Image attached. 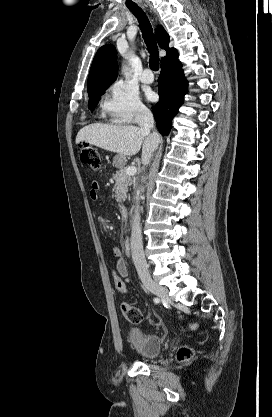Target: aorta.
Segmentation results:
<instances>
[{
  "mask_svg": "<svg viewBox=\"0 0 272 417\" xmlns=\"http://www.w3.org/2000/svg\"><path fill=\"white\" fill-rule=\"evenodd\" d=\"M127 70H128V68L124 65L123 66V72H124V74H127Z\"/></svg>",
  "mask_w": 272,
  "mask_h": 417,
  "instance_id": "1",
  "label": "aorta"
}]
</instances>
